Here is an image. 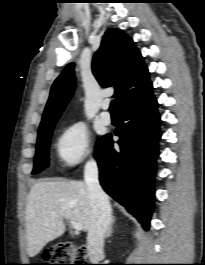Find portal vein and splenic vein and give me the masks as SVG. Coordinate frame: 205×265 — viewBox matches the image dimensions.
Masks as SVG:
<instances>
[{
    "mask_svg": "<svg viewBox=\"0 0 205 265\" xmlns=\"http://www.w3.org/2000/svg\"><path fill=\"white\" fill-rule=\"evenodd\" d=\"M71 225L73 227V229L76 231V232H79L83 229L82 225L78 222H75L74 220H71Z\"/></svg>",
    "mask_w": 205,
    "mask_h": 265,
    "instance_id": "portal-vein-and-splenic-vein-1",
    "label": "portal vein and splenic vein"
}]
</instances>
